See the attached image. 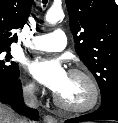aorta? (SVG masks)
Returning a JSON list of instances; mask_svg holds the SVG:
<instances>
[{
    "mask_svg": "<svg viewBox=\"0 0 118 123\" xmlns=\"http://www.w3.org/2000/svg\"><path fill=\"white\" fill-rule=\"evenodd\" d=\"M64 17L63 10L58 7H51L46 14V22L50 25H54Z\"/></svg>",
    "mask_w": 118,
    "mask_h": 123,
    "instance_id": "1",
    "label": "aorta"
}]
</instances>
